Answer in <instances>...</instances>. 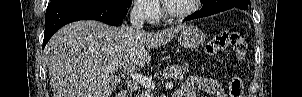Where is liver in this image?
<instances>
[{"mask_svg": "<svg viewBox=\"0 0 302 97\" xmlns=\"http://www.w3.org/2000/svg\"><path fill=\"white\" fill-rule=\"evenodd\" d=\"M182 28L150 33L92 20L65 25L45 47L53 97H110L124 74L150 62L149 49L170 42ZM108 66L116 70L106 73Z\"/></svg>", "mask_w": 302, "mask_h": 97, "instance_id": "6515ba94", "label": "liver"}]
</instances>
